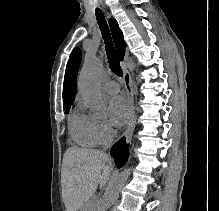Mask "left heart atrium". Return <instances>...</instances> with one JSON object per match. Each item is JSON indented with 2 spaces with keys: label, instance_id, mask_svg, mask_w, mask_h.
Instances as JSON below:
<instances>
[{
  "label": "left heart atrium",
  "instance_id": "left-heart-atrium-1",
  "mask_svg": "<svg viewBox=\"0 0 219 211\" xmlns=\"http://www.w3.org/2000/svg\"><path fill=\"white\" fill-rule=\"evenodd\" d=\"M109 117L113 125L122 126L129 117V107L122 97H114L108 103Z\"/></svg>",
  "mask_w": 219,
  "mask_h": 211
}]
</instances>
